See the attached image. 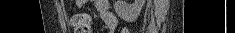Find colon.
Masks as SVG:
<instances>
[{"label": "colon", "instance_id": "5ec220e1", "mask_svg": "<svg viewBox=\"0 0 235 33\" xmlns=\"http://www.w3.org/2000/svg\"><path fill=\"white\" fill-rule=\"evenodd\" d=\"M71 26L74 33H91V19L86 14H75L71 18Z\"/></svg>", "mask_w": 235, "mask_h": 33}]
</instances>
